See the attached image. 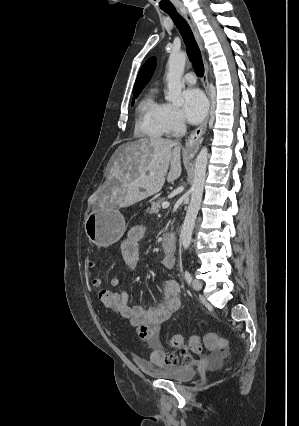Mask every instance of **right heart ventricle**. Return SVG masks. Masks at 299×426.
Here are the masks:
<instances>
[{
	"instance_id": "right-heart-ventricle-1",
	"label": "right heart ventricle",
	"mask_w": 299,
	"mask_h": 426,
	"mask_svg": "<svg viewBox=\"0 0 299 426\" xmlns=\"http://www.w3.org/2000/svg\"><path fill=\"white\" fill-rule=\"evenodd\" d=\"M165 108L166 104L158 99L155 92L148 93L138 105L136 133L150 138L165 135Z\"/></svg>"
}]
</instances>
